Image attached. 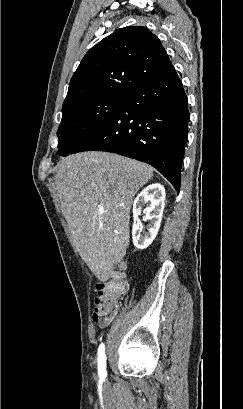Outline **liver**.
<instances>
[{
	"mask_svg": "<svg viewBox=\"0 0 243 409\" xmlns=\"http://www.w3.org/2000/svg\"><path fill=\"white\" fill-rule=\"evenodd\" d=\"M152 176L149 165L108 152L77 153L57 163L61 210L80 256L100 281L126 255L133 198Z\"/></svg>",
	"mask_w": 243,
	"mask_h": 409,
	"instance_id": "liver-1",
	"label": "liver"
}]
</instances>
